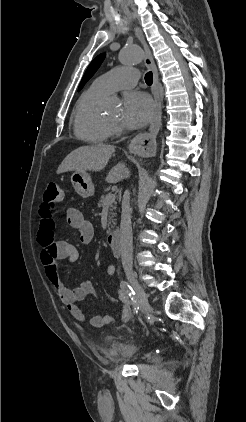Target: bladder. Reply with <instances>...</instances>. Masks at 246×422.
I'll return each instance as SVG.
<instances>
[{"instance_id":"obj_1","label":"bladder","mask_w":246,"mask_h":422,"mask_svg":"<svg viewBox=\"0 0 246 422\" xmlns=\"http://www.w3.org/2000/svg\"><path fill=\"white\" fill-rule=\"evenodd\" d=\"M101 352L110 359L126 360L138 353V345L125 341H108L101 346Z\"/></svg>"}]
</instances>
